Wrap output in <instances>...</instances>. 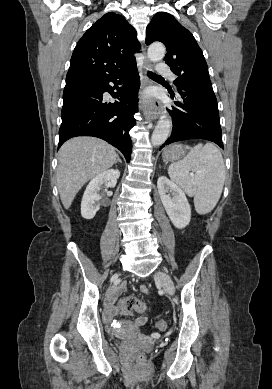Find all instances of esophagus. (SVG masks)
<instances>
[{
    "label": "esophagus",
    "mask_w": 272,
    "mask_h": 389,
    "mask_svg": "<svg viewBox=\"0 0 272 389\" xmlns=\"http://www.w3.org/2000/svg\"><path fill=\"white\" fill-rule=\"evenodd\" d=\"M149 70H151V63L147 58H145L142 67L145 86L152 84V82L147 77V71ZM161 112H162L161 103L157 100H154L146 106L144 110V115L148 120H156L160 116Z\"/></svg>",
    "instance_id": "34e87169"
}]
</instances>
